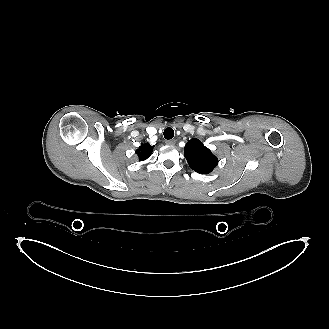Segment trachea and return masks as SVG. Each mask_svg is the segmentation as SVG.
<instances>
[{"label":"trachea","instance_id":"trachea-1","mask_svg":"<svg viewBox=\"0 0 329 329\" xmlns=\"http://www.w3.org/2000/svg\"><path fill=\"white\" fill-rule=\"evenodd\" d=\"M163 134L165 139L170 140L174 137V130L172 128H166Z\"/></svg>","mask_w":329,"mask_h":329}]
</instances>
